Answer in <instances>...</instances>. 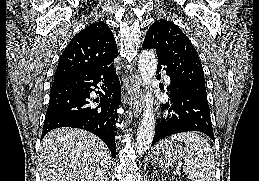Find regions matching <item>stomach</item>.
Listing matches in <instances>:
<instances>
[{
  "label": "stomach",
  "instance_id": "obj_1",
  "mask_svg": "<svg viewBox=\"0 0 259 181\" xmlns=\"http://www.w3.org/2000/svg\"><path fill=\"white\" fill-rule=\"evenodd\" d=\"M182 153L181 146L176 142L162 140L154 147L151 153V161L163 168H167L180 161Z\"/></svg>",
  "mask_w": 259,
  "mask_h": 181
}]
</instances>
